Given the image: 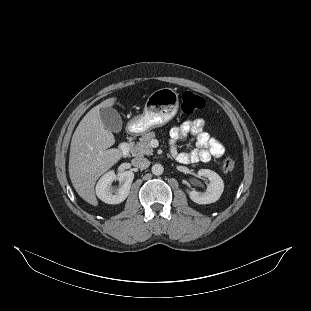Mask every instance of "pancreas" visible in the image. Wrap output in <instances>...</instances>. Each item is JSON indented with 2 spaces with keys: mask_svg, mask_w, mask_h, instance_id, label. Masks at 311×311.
Wrapping results in <instances>:
<instances>
[{
  "mask_svg": "<svg viewBox=\"0 0 311 311\" xmlns=\"http://www.w3.org/2000/svg\"><path fill=\"white\" fill-rule=\"evenodd\" d=\"M155 132H148L139 139V142L134 144V142L129 143L130 152L134 157H141L144 155H152L153 148L150 145V141L155 138Z\"/></svg>",
  "mask_w": 311,
  "mask_h": 311,
  "instance_id": "cf45deb5",
  "label": "pancreas"
}]
</instances>
